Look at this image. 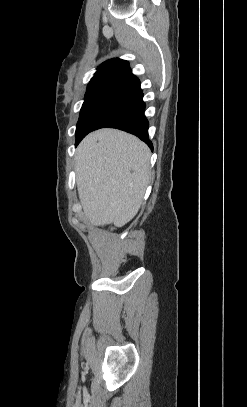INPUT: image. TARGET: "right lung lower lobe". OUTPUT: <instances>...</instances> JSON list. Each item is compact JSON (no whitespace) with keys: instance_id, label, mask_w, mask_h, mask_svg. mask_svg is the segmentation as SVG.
Here are the masks:
<instances>
[{"instance_id":"obj_1","label":"right lung lower lobe","mask_w":247,"mask_h":407,"mask_svg":"<svg viewBox=\"0 0 247 407\" xmlns=\"http://www.w3.org/2000/svg\"><path fill=\"white\" fill-rule=\"evenodd\" d=\"M145 106L143 94L139 92L133 99L127 101L100 120L91 131L104 127L117 128L136 135L153 149L152 142L148 136L149 123L144 115Z\"/></svg>"}]
</instances>
